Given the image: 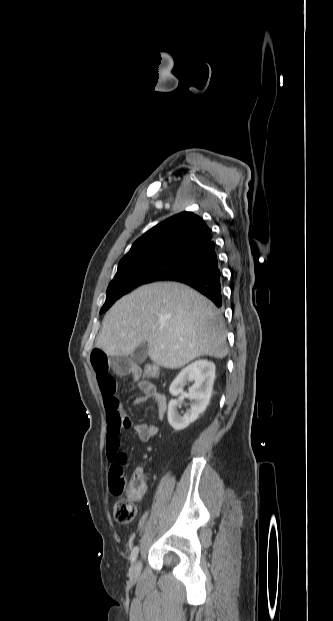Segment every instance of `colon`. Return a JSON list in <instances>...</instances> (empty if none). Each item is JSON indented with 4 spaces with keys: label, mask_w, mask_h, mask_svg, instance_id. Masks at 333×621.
<instances>
[{
    "label": "colon",
    "mask_w": 333,
    "mask_h": 621,
    "mask_svg": "<svg viewBox=\"0 0 333 621\" xmlns=\"http://www.w3.org/2000/svg\"><path fill=\"white\" fill-rule=\"evenodd\" d=\"M146 376L155 379L159 376V369L154 364H146L142 370H135L134 376ZM110 491L118 496L114 504V517L120 523L131 522L136 515L134 502L145 493L146 482L144 474L125 477V464L115 463L109 471Z\"/></svg>",
    "instance_id": "1"
}]
</instances>
